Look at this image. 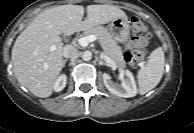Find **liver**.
<instances>
[{
    "instance_id": "liver-1",
    "label": "liver",
    "mask_w": 194,
    "mask_h": 133,
    "mask_svg": "<svg viewBox=\"0 0 194 133\" xmlns=\"http://www.w3.org/2000/svg\"><path fill=\"white\" fill-rule=\"evenodd\" d=\"M83 15L81 5L53 7L36 16L17 37L11 53L14 74L35 96L49 97L63 68L60 34L72 35L126 17L124 11L112 5H89L84 21ZM51 46L56 47L54 51H50Z\"/></svg>"
}]
</instances>
